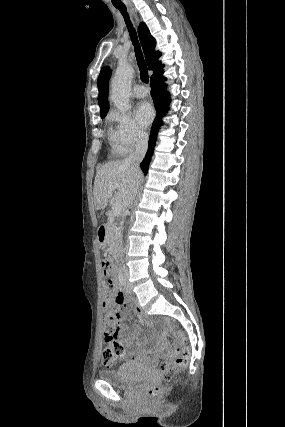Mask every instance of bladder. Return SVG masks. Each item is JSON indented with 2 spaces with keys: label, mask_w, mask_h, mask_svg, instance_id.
I'll return each mask as SVG.
<instances>
[{
  "label": "bladder",
  "mask_w": 285,
  "mask_h": 427,
  "mask_svg": "<svg viewBox=\"0 0 285 427\" xmlns=\"http://www.w3.org/2000/svg\"><path fill=\"white\" fill-rule=\"evenodd\" d=\"M150 370L136 363H123L114 369L100 370L98 376L114 387L131 388L147 378Z\"/></svg>",
  "instance_id": "bladder-1"
}]
</instances>
